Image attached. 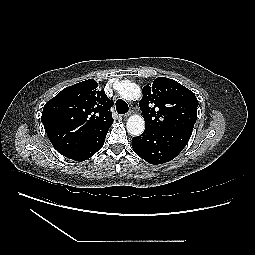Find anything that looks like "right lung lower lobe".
<instances>
[{
  "instance_id": "obj_1",
  "label": "right lung lower lobe",
  "mask_w": 255,
  "mask_h": 255,
  "mask_svg": "<svg viewBox=\"0 0 255 255\" xmlns=\"http://www.w3.org/2000/svg\"><path fill=\"white\" fill-rule=\"evenodd\" d=\"M107 132L108 130H102L100 132L94 133L66 157L78 162L90 158L102 148Z\"/></svg>"
}]
</instances>
